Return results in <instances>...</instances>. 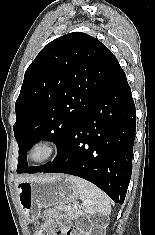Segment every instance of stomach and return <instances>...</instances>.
<instances>
[{
    "mask_svg": "<svg viewBox=\"0 0 155 235\" xmlns=\"http://www.w3.org/2000/svg\"><path fill=\"white\" fill-rule=\"evenodd\" d=\"M17 194L22 213L28 222L37 220L42 208L74 202L79 196L77 187L66 175L21 182L17 185Z\"/></svg>",
    "mask_w": 155,
    "mask_h": 235,
    "instance_id": "1",
    "label": "stomach"
}]
</instances>
